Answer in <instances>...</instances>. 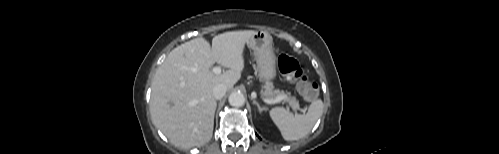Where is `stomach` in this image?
<instances>
[{
  "mask_svg": "<svg viewBox=\"0 0 499 154\" xmlns=\"http://www.w3.org/2000/svg\"><path fill=\"white\" fill-rule=\"evenodd\" d=\"M247 44L254 52L260 81L269 83L276 77V56L272 36L266 31H256Z\"/></svg>",
  "mask_w": 499,
  "mask_h": 154,
  "instance_id": "obj_1",
  "label": "stomach"
}]
</instances>
